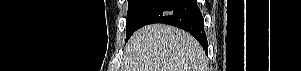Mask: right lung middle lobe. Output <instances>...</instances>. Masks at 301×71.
Returning a JSON list of instances; mask_svg holds the SVG:
<instances>
[{"instance_id": "1", "label": "right lung middle lobe", "mask_w": 301, "mask_h": 71, "mask_svg": "<svg viewBox=\"0 0 301 71\" xmlns=\"http://www.w3.org/2000/svg\"><path fill=\"white\" fill-rule=\"evenodd\" d=\"M157 1L158 0H128L129 7L126 22V41L136 31L147 11Z\"/></svg>"}]
</instances>
